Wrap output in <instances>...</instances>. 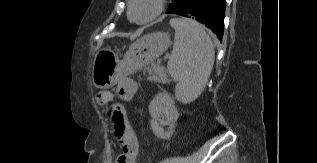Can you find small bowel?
I'll return each instance as SVG.
<instances>
[{
    "instance_id": "small-bowel-1",
    "label": "small bowel",
    "mask_w": 317,
    "mask_h": 163,
    "mask_svg": "<svg viewBox=\"0 0 317 163\" xmlns=\"http://www.w3.org/2000/svg\"><path fill=\"white\" fill-rule=\"evenodd\" d=\"M116 86L118 95L123 100H131L137 91L136 83L130 78H120ZM114 134L119 144L115 163H136L139 146L132 126L127 123L124 132L117 133L114 130Z\"/></svg>"
}]
</instances>
